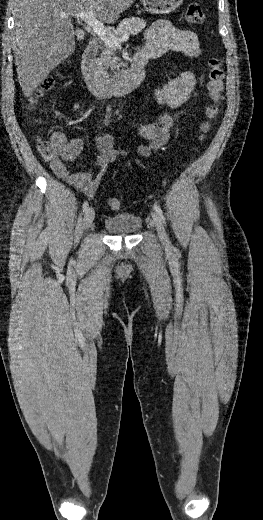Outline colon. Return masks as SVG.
<instances>
[{
	"label": "colon",
	"instance_id": "obj_1",
	"mask_svg": "<svg viewBox=\"0 0 263 520\" xmlns=\"http://www.w3.org/2000/svg\"><path fill=\"white\" fill-rule=\"evenodd\" d=\"M185 19L191 24H203L205 22V14L202 6L199 3L191 2L187 5L185 11ZM208 79L206 88L212 104L207 109V115L210 119L217 116L220 103L223 99L222 92L224 88V69L223 61L219 57H212L208 60ZM54 80L52 78L45 79L40 88L36 91L32 98V104L42 97L46 92L52 89ZM210 129V122L203 124V131L207 133ZM38 149L41 156L46 160H51L55 157L56 148L52 141L41 140L38 144ZM109 206L112 210H120L122 203L118 198L109 199Z\"/></svg>",
	"mask_w": 263,
	"mask_h": 520
}]
</instances>
